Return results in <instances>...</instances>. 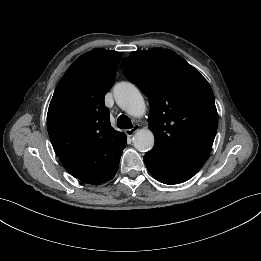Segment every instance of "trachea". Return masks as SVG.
I'll list each match as a JSON object with an SVG mask.
<instances>
[{
    "mask_svg": "<svg viewBox=\"0 0 261 261\" xmlns=\"http://www.w3.org/2000/svg\"><path fill=\"white\" fill-rule=\"evenodd\" d=\"M117 126L121 129H130L133 127L130 118L126 115H120L117 119Z\"/></svg>",
    "mask_w": 261,
    "mask_h": 261,
    "instance_id": "3493384b",
    "label": "trachea"
}]
</instances>
